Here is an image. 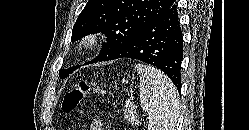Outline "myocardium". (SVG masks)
<instances>
[{
  "label": "myocardium",
  "instance_id": "myocardium-1",
  "mask_svg": "<svg viewBox=\"0 0 249 130\" xmlns=\"http://www.w3.org/2000/svg\"><path fill=\"white\" fill-rule=\"evenodd\" d=\"M105 38V34L102 32H92L82 38L77 44L79 51L94 47L98 45Z\"/></svg>",
  "mask_w": 249,
  "mask_h": 130
}]
</instances>
